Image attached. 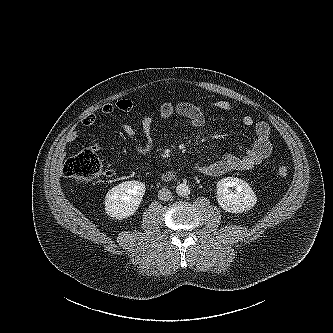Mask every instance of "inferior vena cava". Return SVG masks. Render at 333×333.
<instances>
[{
  "instance_id": "inferior-vena-cava-1",
  "label": "inferior vena cava",
  "mask_w": 333,
  "mask_h": 333,
  "mask_svg": "<svg viewBox=\"0 0 333 333\" xmlns=\"http://www.w3.org/2000/svg\"><path fill=\"white\" fill-rule=\"evenodd\" d=\"M172 197V193L167 188H162L158 191V198L161 201H167Z\"/></svg>"
}]
</instances>
